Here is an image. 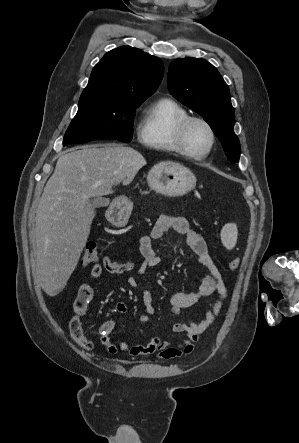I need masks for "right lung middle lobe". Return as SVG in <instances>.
I'll return each mask as SVG.
<instances>
[{"label": "right lung middle lobe", "instance_id": "right-lung-middle-lobe-1", "mask_svg": "<svg viewBox=\"0 0 299 443\" xmlns=\"http://www.w3.org/2000/svg\"><path fill=\"white\" fill-rule=\"evenodd\" d=\"M142 102L117 97L81 95L78 112L65 133L63 145L99 139L130 142L135 109Z\"/></svg>", "mask_w": 299, "mask_h": 443}]
</instances>
